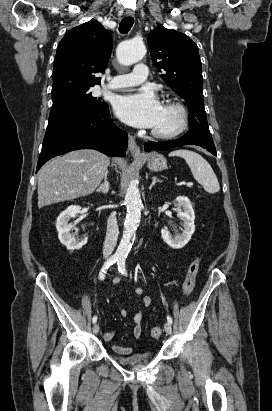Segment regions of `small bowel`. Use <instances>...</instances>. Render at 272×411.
Returning <instances> with one entry per match:
<instances>
[{
	"label": "small bowel",
	"instance_id": "small-bowel-1",
	"mask_svg": "<svg viewBox=\"0 0 272 411\" xmlns=\"http://www.w3.org/2000/svg\"><path fill=\"white\" fill-rule=\"evenodd\" d=\"M120 281H121L120 278H115L113 280V283L118 284ZM133 291L135 295L141 300L144 307H148L151 304L150 297L143 294V290L141 287H135ZM119 312H120L121 317L123 318H126L128 315L127 311L123 308H121ZM142 319H143V313L141 311H137L133 317V331H132V335L136 339H138L142 333ZM113 336H114V333L112 331H106L103 334V338L106 341L111 340ZM127 339H128V336L125 335L123 337V340L126 341ZM112 348L115 352L119 354H123V355H127L132 352V348L130 346H125V345H114Z\"/></svg>",
	"mask_w": 272,
	"mask_h": 411
}]
</instances>
